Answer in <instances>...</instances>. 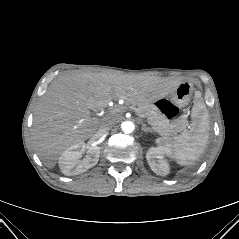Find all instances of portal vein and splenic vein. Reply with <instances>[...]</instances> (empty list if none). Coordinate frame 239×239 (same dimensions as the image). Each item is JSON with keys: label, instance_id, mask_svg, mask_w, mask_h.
<instances>
[{"label": "portal vein and splenic vein", "instance_id": "1", "mask_svg": "<svg viewBox=\"0 0 239 239\" xmlns=\"http://www.w3.org/2000/svg\"><path fill=\"white\" fill-rule=\"evenodd\" d=\"M113 112H114V111H113ZM136 115H138L139 117H141V118H143V119L146 118L145 115H144V114H141V113H137V112H136Z\"/></svg>", "mask_w": 239, "mask_h": 239}]
</instances>
